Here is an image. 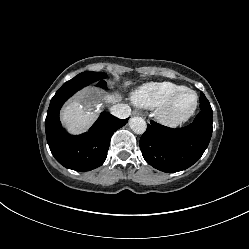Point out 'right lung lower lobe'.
<instances>
[{"mask_svg": "<svg viewBox=\"0 0 249 249\" xmlns=\"http://www.w3.org/2000/svg\"><path fill=\"white\" fill-rule=\"evenodd\" d=\"M89 84L75 79L64 83L51 99L45 120L47 142L53 156L64 167L76 171L101 166L106 160L111 136L128 121L103 112L88 132L78 136L67 134L60 123V108L74 93ZM96 86L106 88L105 81H98Z\"/></svg>", "mask_w": 249, "mask_h": 249, "instance_id": "obj_1", "label": "right lung lower lobe"}]
</instances>
